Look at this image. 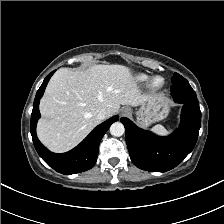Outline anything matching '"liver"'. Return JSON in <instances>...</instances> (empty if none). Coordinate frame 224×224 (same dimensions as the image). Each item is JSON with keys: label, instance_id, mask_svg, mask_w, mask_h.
I'll list each match as a JSON object with an SVG mask.
<instances>
[{"label": "liver", "instance_id": "1", "mask_svg": "<svg viewBox=\"0 0 224 224\" xmlns=\"http://www.w3.org/2000/svg\"><path fill=\"white\" fill-rule=\"evenodd\" d=\"M151 98L142 94L126 66L94 65L84 71L61 68L40 101L38 138L51 151L66 152L100 123L97 114L101 109L107 110L109 118L120 105L137 107Z\"/></svg>", "mask_w": 224, "mask_h": 224}]
</instances>
